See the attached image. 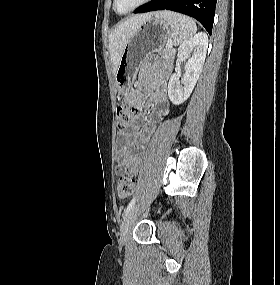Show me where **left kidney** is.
I'll list each match as a JSON object with an SVG mask.
<instances>
[{
    "instance_id": "1",
    "label": "left kidney",
    "mask_w": 280,
    "mask_h": 285,
    "mask_svg": "<svg viewBox=\"0 0 280 285\" xmlns=\"http://www.w3.org/2000/svg\"><path fill=\"white\" fill-rule=\"evenodd\" d=\"M208 47V37L200 32L183 42L178 49V61H185V73H173L168 83V96L171 102L179 105L186 101L192 93L202 71Z\"/></svg>"
}]
</instances>
